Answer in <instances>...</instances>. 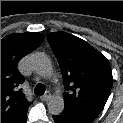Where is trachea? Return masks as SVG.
I'll return each mask as SVG.
<instances>
[{
  "label": "trachea",
  "mask_w": 123,
  "mask_h": 123,
  "mask_svg": "<svg viewBox=\"0 0 123 123\" xmlns=\"http://www.w3.org/2000/svg\"><path fill=\"white\" fill-rule=\"evenodd\" d=\"M34 93L36 95H43L45 93V86L43 84H37Z\"/></svg>",
  "instance_id": "1"
}]
</instances>
